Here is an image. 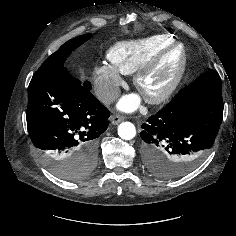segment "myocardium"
<instances>
[{
  "instance_id": "myocardium-1",
  "label": "myocardium",
  "mask_w": 236,
  "mask_h": 236,
  "mask_svg": "<svg viewBox=\"0 0 236 236\" xmlns=\"http://www.w3.org/2000/svg\"><path fill=\"white\" fill-rule=\"evenodd\" d=\"M178 53V67L171 82L160 92L148 93L142 87L143 79L159 64V62L168 54ZM187 66V54L185 48L180 43H172L171 45L158 51L143 63L134 73L133 82L137 90L142 94L144 99L150 104H160L169 99L181 84Z\"/></svg>"
}]
</instances>
